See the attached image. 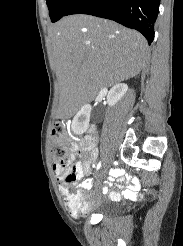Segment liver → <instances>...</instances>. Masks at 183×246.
I'll use <instances>...</instances> for the list:
<instances>
[{
	"mask_svg": "<svg viewBox=\"0 0 183 246\" xmlns=\"http://www.w3.org/2000/svg\"><path fill=\"white\" fill-rule=\"evenodd\" d=\"M62 117L72 116L103 87L137 76L148 56L137 31L90 15H72L49 28Z\"/></svg>",
	"mask_w": 183,
	"mask_h": 246,
	"instance_id": "1",
	"label": "liver"
}]
</instances>
